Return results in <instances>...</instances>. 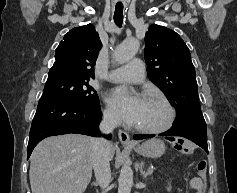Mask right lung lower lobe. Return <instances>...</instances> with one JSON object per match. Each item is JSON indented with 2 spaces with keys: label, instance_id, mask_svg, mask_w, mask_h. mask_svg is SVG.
Instances as JSON below:
<instances>
[{
  "label": "right lung lower lobe",
  "instance_id": "obj_1",
  "mask_svg": "<svg viewBox=\"0 0 237 193\" xmlns=\"http://www.w3.org/2000/svg\"><path fill=\"white\" fill-rule=\"evenodd\" d=\"M101 117L100 104L79 107L58 99L41 98L30 129L27 159L34 147L49 136L69 133L98 136Z\"/></svg>",
  "mask_w": 237,
  "mask_h": 193
}]
</instances>
